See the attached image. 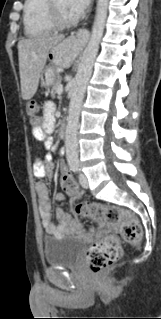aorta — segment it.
I'll return each instance as SVG.
<instances>
[{
	"instance_id": "aorta-1",
	"label": "aorta",
	"mask_w": 161,
	"mask_h": 319,
	"mask_svg": "<svg viewBox=\"0 0 161 319\" xmlns=\"http://www.w3.org/2000/svg\"><path fill=\"white\" fill-rule=\"evenodd\" d=\"M109 0H98L96 17L92 27L90 40L83 52L77 74L73 80V94L69 105L67 118L65 147L69 166L79 163L77 151V131L80 110L86 91L87 83L91 77L93 65L99 50V44L103 36Z\"/></svg>"
}]
</instances>
